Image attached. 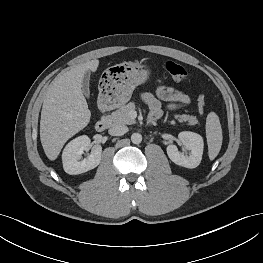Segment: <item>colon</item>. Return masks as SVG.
Segmentation results:
<instances>
[{
    "instance_id": "colon-1",
    "label": "colon",
    "mask_w": 263,
    "mask_h": 263,
    "mask_svg": "<svg viewBox=\"0 0 263 263\" xmlns=\"http://www.w3.org/2000/svg\"><path fill=\"white\" fill-rule=\"evenodd\" d=\"M164 70L174 79L177 81H185L188 79V73L184 67L181 65L173 62V61H166L163 65ZM197 104L199 111L201 113L204 112L205 109V97L202 93H200L197 97Z\"/></svg>"
}]
</instances>
